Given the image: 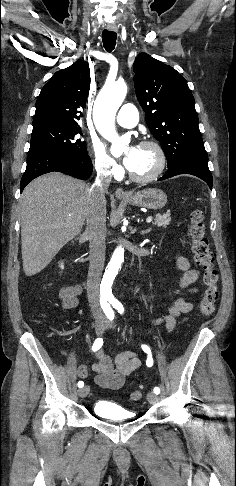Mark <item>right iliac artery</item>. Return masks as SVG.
Returning a JSON list of instances; mask_svg holds the SVG:
<instances>
[{
    "label": "right iliac artery",
    "mask_w": 236,
    "mask_h": 486,
    "mask_svg": "<svg viewBox=\"0 0 236 486\" xmlns=\"http://www.w3.org/2000/svg\"><path fill=\"white\" fill-rule=\"evenodd\" d=\"M103 310L107 316L108 319L110 320H113L114 319V311L113 309L110 307V305L107 303V302H104L103 303ZM103 345V338H97L94 343H93V346H92V351L93 352H96L97 350H99ZM84 386V382L83 381H79L78 382V387L79 388H82Z\"/></svg>",
    "instance_id": "obj_1"
}]
</instances>
